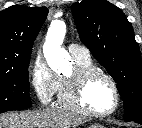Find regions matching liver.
<instances>
[{
    "label": "liver",
    "mask_w": 142,
    "mask_h": 128,
    "mask_svg": "<svg viewBox=\"0 0 142 128\" xmlns=\"http://www.w3.org/2000/svg\"><path fill=\"white\" fill-rule=\"evenodd\" d=\"M82 122L79 115L56 108L0 114V128H76Z\"/></svg>",
    "instance_id": "liver-1"
}]
</instances>
